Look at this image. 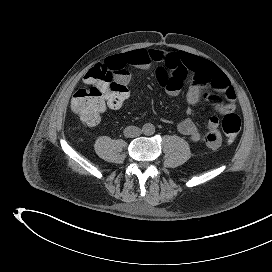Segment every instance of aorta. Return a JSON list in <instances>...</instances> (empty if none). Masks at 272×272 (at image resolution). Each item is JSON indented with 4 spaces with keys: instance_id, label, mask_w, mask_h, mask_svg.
Returning a JSON list of instances; mask_svg holds the SVG:
<instances>
[{
    "instance_id": "762f6f07",
    "label": "aorta",
    "mask_w": 272,
    "mask_h": 272,
    "mask_svg": "<svg viewBox=\"0 0 272 272\" xmlns=\"http://www.w3.org/2000/svg\"><path fill=\"white\" fill-rule=\"evenodd\" d=\"M142 132L145 135H153L155 133V126L151 123H146L142 127Z\"/></svg>"
}]
</instances>
